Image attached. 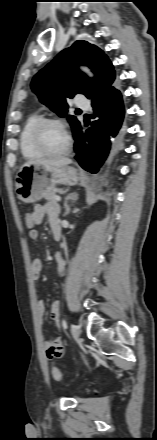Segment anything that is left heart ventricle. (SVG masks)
<instances>
[{
    "instance_id": "1",
    "label": "left heart ventricle",
    "mask_w": 157,
    "mask_h": 440,
    "mask_svg": "<svg viewBox=\"0 0 157 440\" xmlns=\"http://www.w3.org/2000/svg\"><path fill=\"white\" fill-rule=\"evenodd\" d=\"M42 141L50 151H61L67 144L64 130L58 125H48L42 131Z\"/></svg>"
}]
</instances>
